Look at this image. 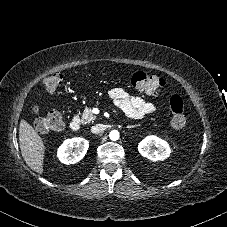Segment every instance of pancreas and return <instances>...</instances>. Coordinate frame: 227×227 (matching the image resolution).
<instances>
[{"mask_svg":"<svg viewBox=\"0 0 227 227\" xmlns=\"http://www.w3.org/2000/svg\"><path fill=\"white\" fill-rule=\"evenodd\" d=\"M95 119H96V116L93 114L92 108L90 107L85 108L81 117V122L83 124H87V123L94 122Z\"/></svg>","mask_w":227,"mask_h":227,"instance_id":"cf45deb5","label":"pancreas"}]
</instances>
